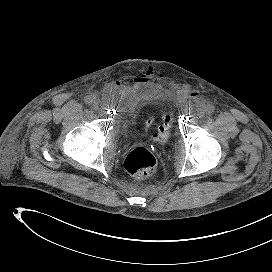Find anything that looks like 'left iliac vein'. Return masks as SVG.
Wrapping results in <instances>:
<instances>
[{
    "instance_id": "4c4485c4",
    "label": "left iliac vein",
    "mask_w": 272,
    "mask_h": 272,
    "mask_svg": "<svg viewBox=\"0 0 272 272\" xmlns=\"http://www.w3.org/2000/svg\"><path fill=\"white\" fill-rule=\"evenodd\" d=\"M196 111H197V116L202 117L207 112V108L205 105H199Z\"/></svg>"
}]
</instances>
